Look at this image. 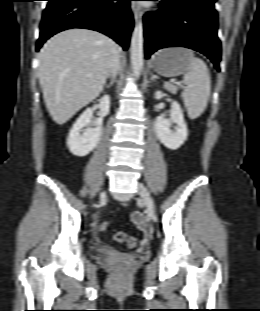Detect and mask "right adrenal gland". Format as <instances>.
<instances>
[{"label": "right adrenal gland", "mask_w": 260, "mask_h": 311, "mask_svg": "<svg viewBox=\"0 0 260 311\" xmlns=\"http://www.w3.org/2000/svg\"><path fill=\"white\" fill-rule=\"evenodd\" d=\"M113 83H114V80H111V82L109 84L105 85V87L110 88L113 85Z\"/></svg>", "instance_id": "right-adrenal-gland-1"}]
</instances>
